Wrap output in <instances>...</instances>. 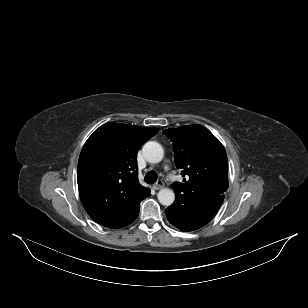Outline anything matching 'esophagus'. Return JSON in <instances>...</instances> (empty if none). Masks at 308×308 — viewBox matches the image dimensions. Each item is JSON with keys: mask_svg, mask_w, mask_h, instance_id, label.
I'll return each instance as SVG.
<instances>
[{"mask_svg": "<svg viewBox=\"0 0 308 308\" xmlns=\"http://www.w3.org/2000/svg\"><path fill=\"white\" fill-rule=\"evenodd\" d=\"M163 187H164V183L161 180L157 181V183H155L153 185V189H155V190L162 189Z\"/></svg>", "mask_w": 308, "mask_h": 308, "instance_id": "1", "label": "esophagus"}]
</instances>
